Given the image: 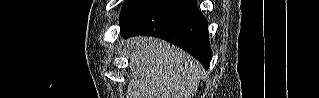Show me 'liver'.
Listing matches in <instances>:
<instances>
[{"instance_id": "1", "label": "liver", "mask_w": 319, "mask_h": 98, "mask_svg": "<svg viewBox=\"0 0 319 98\" xmlns=\"http://www.w3.org/2000/svg\"><path fill=\"white\" fill-rule=\"evenodd\" d=\"M127 98H193L202 67L188 53L147 37L130 41Z\"/></svg>"}]
</instances>
